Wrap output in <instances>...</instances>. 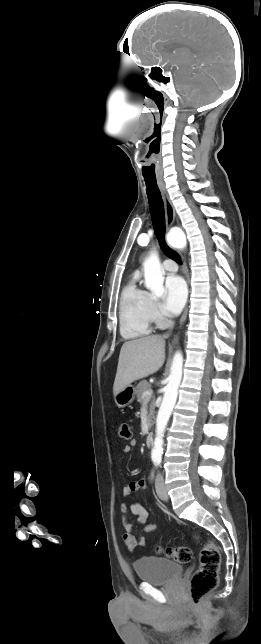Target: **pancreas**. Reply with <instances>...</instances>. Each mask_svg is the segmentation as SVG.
<instances>
[{
    "label": "pancreas",
    "mask_w": 261,
    "mask_h": 644,
    "mask_svg": "<svg viewBox=\"0 0 261 644\" xmlns=\"http://www.w3.org/2000/svg\"><path fill=\"white\" fill-rule=\"evenodd\" d=\"M147 390H151V385L147 381L143 380L137 385L136 394H137V400L139 403H143L144 401H149L151 399L152 396L149 399L143 398V393ZM154 410H155V404H154V401H152L149 404V414H148L149 426L152 425V419L154 418Z\"/></svg>",
    "instance_id": "obj_1"
}]
</instances>
